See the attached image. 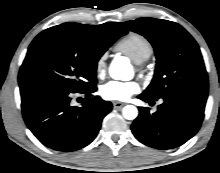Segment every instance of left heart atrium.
<instances>
[{"label": "left heart atrium", "instance_id": "1", "mask_svg": "<svg viewBox=\"0 0 220 173\" xmlns=\"http://www.w3.org/2000/svg\"><path fill=\"white\" fill-rule=\"evenodd\" d=\"M139 90L140 87L136 81H109L101 86L100 93L106 100L126 101Z\"/></svg>", "mask_w": 220, "mask_h": 173}]
</instances>
